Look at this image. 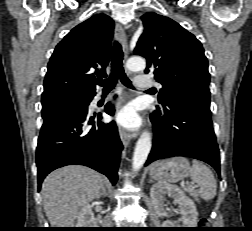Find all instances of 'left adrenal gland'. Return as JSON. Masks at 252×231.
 I'll use <instances>...</instances> for the list:
<instances>
[{
    "label": "left adrenal gland",
    "mask_w": 252,
    "mask_h": 231,
    "mask_svg": "<svg viewBox=\"0 0 252 231\" xmlns=\"http://www.w3.org/2000/svg\"><path fill=\"white\" fill-rule=\"evenodd\" d=\"M153 182L152 180H149V183Z\"/></svg>",
    "instance_id": "obj_1"
}]
</instances>
